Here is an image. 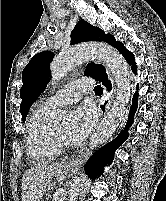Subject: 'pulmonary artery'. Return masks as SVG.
Here are the masks:
<instances>
[{"instance_id": "e3ab8cb5", "label": "pulmonary artery", "mask_w": 166, "mask_h": 201, "mask_svg": "<svg viewBox=\"0 0 166 201\" xmlns=\"http://www.w3.org/2000/svg\"><path fill=\"white\" fill-rule=\"evenodd\" d=\"M92 87L93 81L89 78L75 80L48 97L44 105L50 108L70 105L77 102L82 97L83 93L90 90Z\"/></svg>"}]
</instances>
